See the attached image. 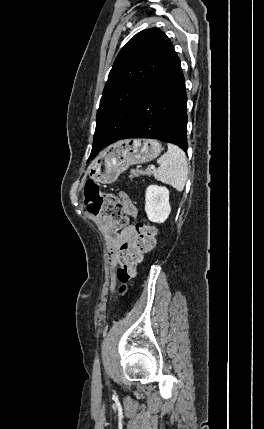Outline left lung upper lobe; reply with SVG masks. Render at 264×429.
I'll use <instances>...</instances> for the list:
<instances>
[{
  "label": "left lung upper lobe",
  "instance_id": "obj_1",
  "mask_svg": "<svg viewBox=\"0 0 264 429\" xmlns=\"http://www.w3.org/2000/svg\"><path fill=\"white\" fill-rule=\"evenodd\" d=\"M171 45L160 29L150 28L136 34L121 49L100 100L90 157L128 132L143 97L161 72Z\"/></svg>",
  "mask_w": 264,
  "mask_h": 429
}]
</instances>
